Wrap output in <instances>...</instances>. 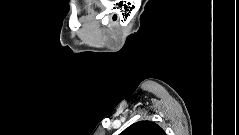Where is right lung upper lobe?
Masks as SVG:
<instances>
[{
    "label": "right lung upper lobe",
    "instance_id": "obj_1",
    "mask_svg": "<svg viewBox=\"0 0 239 135\" xmlns=\"http://www.w3.org/2000/svg\"><path fill=\"white\" fill-rule=\"evenodd\" d=\"M120 135H166L162 128L151 121H139L126 128Z\"/></svg>",
    "mask_w": 239,
    "mask_h": 135
}]
</instances>
